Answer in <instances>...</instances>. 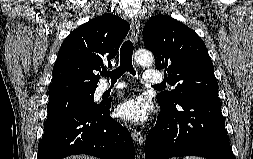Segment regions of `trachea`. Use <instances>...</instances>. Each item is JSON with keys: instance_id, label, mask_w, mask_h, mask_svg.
<instances>
[{"instance_id": "1", "label": "trachea", "mask_w": 253, "mask_h": 159, "mask_svg": "<svg viewBox=\"0 0 253 159\" xmlns=\"http://www.w3.org/2000/svg\"><path fill=\"white\" fill-rule=\"evenodd\" d=\"M133 43L127 40L123 43L120 49V66L113 71H102L101 75L110 77L111 82L115 83L125 72H130L135 75L136 72L132 65V55H133ZM155 88H160L162 85H156Z\"/></svg>"}]
</instances>
